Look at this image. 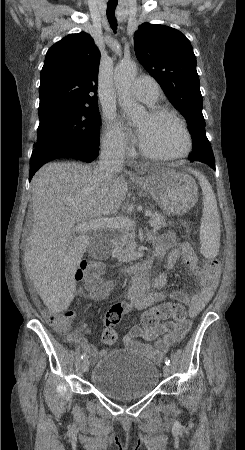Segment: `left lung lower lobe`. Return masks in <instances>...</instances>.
<instances>
[{
  "mask_svg": "<svg viewBox=\"0 0 245 450\" xmlns=\"http://www.w3.org/2000/svg\"><path fill=\"white\" fill-rule=\"evenodd\" d=\"M197 149L200 152V154L193 155L192 157H194L195 159H191V157H188V159L191 161H199L206 163L215 170V159L212 149L210 147L205 148L202 145L198 146Z\"/></svg>",
  "mask_w": 245,
  "mask_h": 450,
  "instance_id": "left-lung-lower-lobe-1",
  "label": "left lung lower lobe"
}]
</instances>
